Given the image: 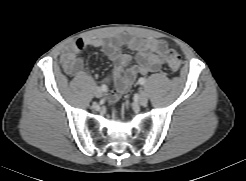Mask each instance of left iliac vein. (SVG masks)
I'll return each mask as SVG.
<instances>
[{"mask_svg":"<svg viewBox=\"0 0 246 181\" xmlns=\"http://www.w3.org/2000/svg\"><path fill=\"white\" fill-rule=\"evenodd\" d=\"M138 100L141 104H146L147 101H148V96H147V93L145 91H141L139 93V97H138Z\"/></svg>","mask_w":246,"mask_h":181,"instance_id":"left-iliac-vein-1","label":"left iliac vein"}]
</instances>
